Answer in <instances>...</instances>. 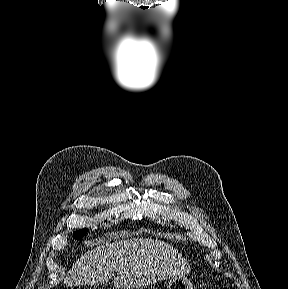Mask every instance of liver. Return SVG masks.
<instances>
[{
    "label": "liver",
    "instance_id": "liver-1",
    "mask_svg": "<svg viewBox=\"0 0 288 289\" xmlns=\"http://www.w3.org/2000/svg\"><path fill=\"white\" fill-rule=\"evenodd\" d=\"M95 245L67 273L66 286L106 285L108 276L117 273L116 288L135 289L190 271L178 250L160 240L135 238Z\"/></svg>",
    "mask_w": 288,
    "mask_h": 289
}]
</instances>
